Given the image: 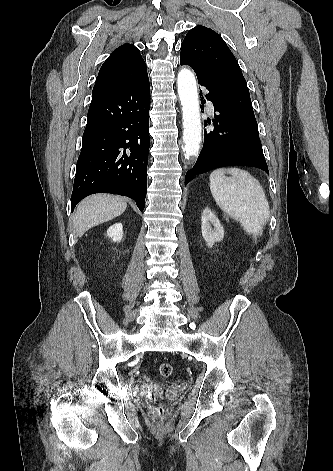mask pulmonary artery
Wrapping results in <instances>:
<instances>
[{"label": "pulmonary artery", "instance_id": "1", "mask_svg": "<svg viewBox=\"0 0 333 471\" xmlns=\"http://www.w3.org/2000/svg\"><path fill=\"white\" fill-rule=\"evenodd\" d=\"M208 106H209V107H212V104H211V103H209V104H208Z\"/></svg>", "mask_w": 333, "mask_h": 471}]
</instances>
